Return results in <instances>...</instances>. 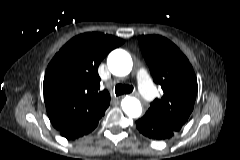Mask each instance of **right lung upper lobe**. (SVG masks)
<instances>
[{
    "instance_id": "obj_1",
    "label": "right lung upper lobe",
    "mask_w": 240,
    "mask_h": 160,
    "mask_svg": "<svg viewBox=\"0 0 240 160\" xmlns=\"http://www.w3.org/2000/svg\"><path fill=\"white\" fill-rule=\"evenodd\" d=\"M124 41L102 33H84L67 42L49 63L43 83L49 119L58 131L106 109L110 95L100 89L98 66Z\"/></svg>"
}]
</instances>
